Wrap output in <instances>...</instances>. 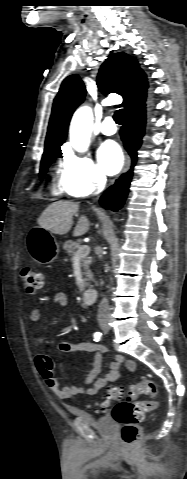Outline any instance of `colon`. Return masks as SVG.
Segmentation results:
<instances>
[{
  "label": "colon",
  "mask_w": 187,
  "mask_h": 479,
  "mask_svg": "<svg viewBox=\"0 0 187 479\" xmlns=\"http://www.w3.org/2000/svg\"><path fill=\"white\" fill-rule=\"evenodd\" d=\"M20 273L25 293L33 294L43 286V274L34 267L24 266ZM140 394H148L154 398L157 395L155 382L151 379H143L129 391L115 386L109 387L100 404L105 409L110 402H117L112 411V417L121 425V439L127 446L134 445L140 438V424L145 413L157 407V403L153 400L136 401V397Z\"/></svg>",
  "instance_id": "obj_1"
}]
</instances>
